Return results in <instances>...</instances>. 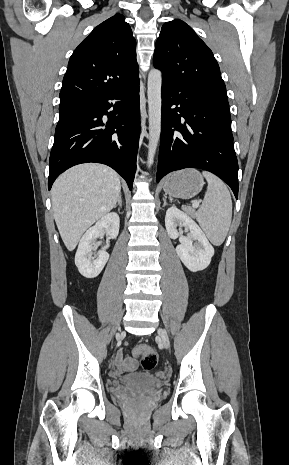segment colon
I'll return each mask as SVG.
<instances>
[{"label":"colon","instance_id":"1","mask_svg":"<svg viewBox=\"0 0 289 465\" xmlns=\"http://www.w3.org/2000/svg\"><path fill=\"white\" fill-rule=\"evenodd\" d=\"M134 354L141 357V365L145 370H152L157 364V354L148 345H137L133 349Z\"/></svg>","mask_w":289,"mask_h":465}]
</instances>
